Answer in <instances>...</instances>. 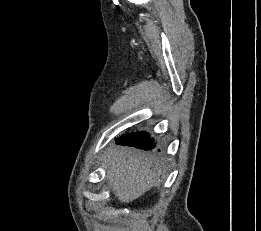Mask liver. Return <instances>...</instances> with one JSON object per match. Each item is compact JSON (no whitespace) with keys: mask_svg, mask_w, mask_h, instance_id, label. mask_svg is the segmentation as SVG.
Instances as JSON below:
<instances>
[{"mask_svg":"<svg viewBox=\"0 0 261 231\" xmlns=\"http://www.w3.org/2000/svg\"><path fill=\"white\" fill-rule=\"evenodd\" d=\"M105 167L113 193L122 203L132 202L159 182L152 162L127 148L108 154Z\"/></svg>","mask_w":261,"mask_h":231,"instance_id":"1","label":"liver"}]
</instances>
